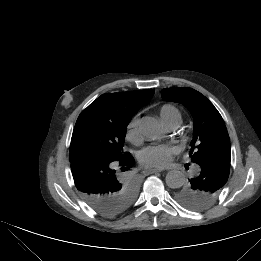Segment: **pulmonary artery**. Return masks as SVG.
I'll return each instance as SVG.
<instances>
[{
	"mask_svg": "<svg viewBox=\"0 0 261 261\" xmlns=\"http://www.w3.org/2000/svg\"><path fill=\"white\" fill-rule=\"evenodd\" d=\"M166 126L171 129V130H175L177 129L180 124H181V118L180 117H173L167 121H165ZM199 168L195 167V171H198Z\"/></svg>",
	"mask_w": 261,
	"mask_h": 261,
	"instance_id": "e3ab8cb5",
	"label": "pulmonary artery"
}]
</instances>
